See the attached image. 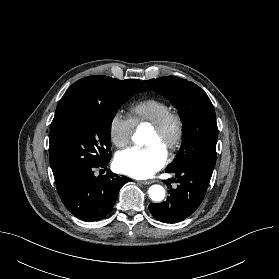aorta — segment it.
I'll return each mask as SVG.
<instances>
[{"label":"aorta","mask_w":279,"mask_h":279,"mask_svg":"<svg viewBox=\"0 0 279 279\" xmlns=\"http://www.w3.org/2000/svg\"><path fill=\"white\" fill-rule=\"evenodd\" d=\"M133 141L141 146L145 143V134L141 130H137L134 135H133ZM149 197L155 201V202H160L164 199L165 197V189L161 185H152L149 190Z\"/></svg>","instance_id":"762f6f07"}]
</instances>
